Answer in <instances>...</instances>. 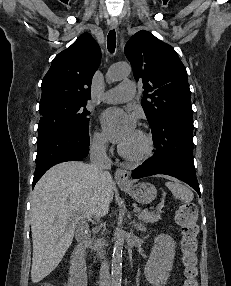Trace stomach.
Here are the masks:
<instances>
[{"mask_svg":"<svg viewBox=\"0 0 231 286\" xmlns=\"http://www.w3.org/2000/svg\"><path fill=\"white\" fill-rule=\"evenodd\" d=\"M120 188L141 204L152 202L157 195L155 186L147 182H139L130 186L120 185Z\"/></svg>","mask_w":231,"mask_h":286,"instance_id":"obj_1","label":"stomach"}]
</instances>
